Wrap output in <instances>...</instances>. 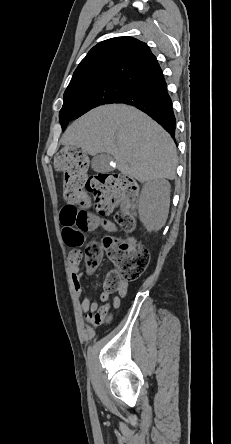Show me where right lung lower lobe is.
Segmentation results:
<instances>
[{
	"instance_id": "obj_1",
	"label": "right lung lower lobe",
	"mask_w": 231,
	"mask_h": 444,
	"mask_svg": "<svg viewBox=\"0 0 231 444\" xmlns=\"http://www.w3.org/2000/svg\"><path fill=\"white\" fill-rule=\"evenodd\" d=\"M114 103H125L142 110L175 137L176 119L163 75L135 85Z\"/></svg>"
}]
</instances>
